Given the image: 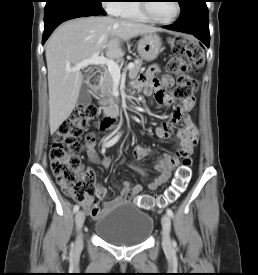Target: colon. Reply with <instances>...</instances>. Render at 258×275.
<instances>
[{
  "mask_svg": "<svg viewBox=\"0 0 258 275\" xmlns=\"http://www.w3.org/2000/svg\"><path fill=\"white\" fill-rule=\"evenodd\" d=\"M170 46L175 56L168 61L166 69L177 77L173 95L186 101L192 98L198 89V81L191 76V72L202 66L204 52L195 41L184 35L173 37ZM96 114L94 106L77 109L60 126L50 150L51 167L58 184L67 196L80 203L96 194V175L92 170H83L78 155L81 150L79 139ZM111 124V120L104 118L98 122V127L107 128ZM93 138V133L87 135V139ZM190 178L191 159L188 155L184 157L182 165L176 170L170 186L163 194L156 198L148 195L138 196L135 203L143 210L163 209L175 202L184 192Z\"/></svg>",
  "mask_w": 258,
  "mask_h": 275,
  "instance_id": "1",
  "label": "colon"
}]
</instances>
